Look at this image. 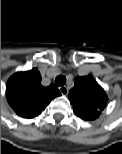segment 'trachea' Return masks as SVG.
I'll use <instances>...</instances> for the list:
<instances>
[{
    "instance_id": "obj_1",
    "label": "trachea",
    "mask_w": 122,
    "mask_h": 154,
    "mask_svg": "<svg viewBox=\"0 0 122 154\" xmlns=\"http://www.w3.org/2000/svg\"><path fill=\"white\" fill-rule=\"evenodd\" d=\"M66 83V77L63 75H60L58 77H56L55 79V84L57 86H63Z\"/></svg>"
}]
</instances>
